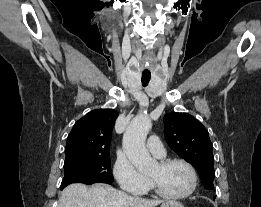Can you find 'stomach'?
Listing matches in <instances>:
<instances>
[{
    "label": "stomach",
    "instance_id": "obj_1",
    "mask_svg": "<svg viewBox=\"0 0 261 207\" xmlns=\"http://www.w3.org/2000/svg\"><path fill=\"white\" fill-rule=\"evenodd\" d=\"M160 207H184V205L178 201L167 200L163 202Z\"/></svg>",
    "mask_w": 261,
    "mask_h": 207
}]
</instances>
